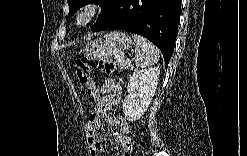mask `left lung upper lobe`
<instances>
[{"mask_svg":"<svg viewBox=\"0 0 247 156\" xmlns=\"http://www.w3.org/2000/svg\"><path fill=\"white\" fill-rule=\"evenodd\" d=\"M116 0H68V6L70 8L69 10V16L73 15L80 7L87 5L89 3H95L99 4L102 8L101 14L99 15L98 21H100L111 9V7L114 5Z\"/></svg>","mask_w":247,"mask_h":156,"instance_id":"1","label":"left lung upper lobe"}]
</instances>
